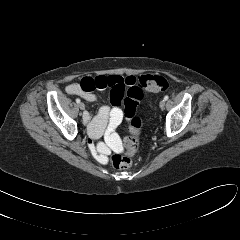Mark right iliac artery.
I'll return each instance as SVG.
<instances>
[{
    "label": "right iliac artery",
    "instance_id": "1",
    "mask_svg": "<svg viewBox=\"0 0 240 240\" xmlns=\"http://www.w3.org/2000/svg\"><path fill=\"white\" fill-rule=\"evenodd\" d=\"M76 103H78V104L80 103V99L79 98L76 99Z\"/></svg>",
    "mask_w": 240,
    "mask_h": 240
}]
</instances>
